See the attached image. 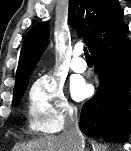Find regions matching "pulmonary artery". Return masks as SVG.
I'll return each mask as SVG.
<instances>
[{"mask_svg":"<svg viewBox=\"0 0 131 151\" xmlns=\"http://www.w3.org/2000/svg\"><path fill=\"white\" fill-rule=\"evenodd\" d=\"M81 53V49H76L71 61V69L76 73H82L87 68L86 62L80 57Z\"/></svg>","mask_w":131,"mask_h":151,"instance_id":"1","label":"pulmonary artery"}]
</instances>
